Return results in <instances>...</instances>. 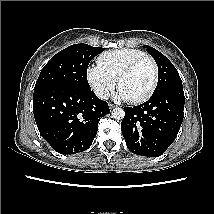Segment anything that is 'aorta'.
I'll return each instance as SVG.
<instances>
[{"instance_id":"1","label":"aorta","mask_w":214,"mask_h":214,"mask_svg":"<svg viewBox=\"0 0 214 214\" xmlns=\"http://www.w3.org/2000/svg\"><path fill=\"white\" fill-rule=\"evenodd\" d=\"M112 116L117 120H122L125 116V111L122 108H114Z\"/></svg>"}]
</instances>
